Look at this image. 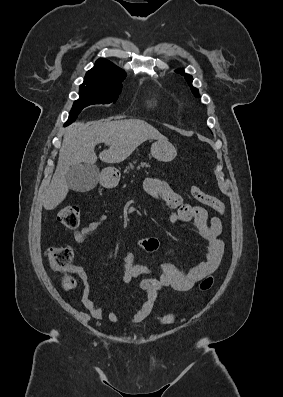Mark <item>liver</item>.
I'll list each match as a JSON object with an SVG mask.
<instances>
[{
	"mask_svg": "<svg viewBox=\"0 0 283 397\" xmlns=\"http://www.w3.org/2000/svg\"><path fill=\"white\" fill-rule=\"evenodd\" d=\"M148 139L164 140L165 137L153 126L140 119L96 121L90 125L75 122L64 134L55 173L45 194L43 206L55 209L67 196L69 185L66 173L77 164L94 165L98 143L108 144V150L99 154L101 161L115 164L124 161Z\"/></svg>",
	"mask_w": 283,
	"mask_h": 397,
	"instance_id": "obj_1",
	"label": "liver"
}]
</instances>
